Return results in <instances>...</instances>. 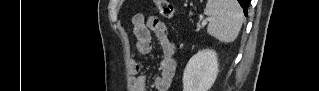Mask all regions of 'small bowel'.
I'll list each match as a JSON object with an SVG mask.
<instances>
[{"label": "small bowel", "instance_id": "obj_1", "mask_svg": "<svg viewBox=\"0 0 319 91\" xmlns=\"http://www.w3.org/2000/svg\"><path fill=\"white\" fill-rule=\"evenodd\" d=\"M134 33L136 36V50L146 55L152 51V33L159 42L162 57L159 64V74L153 78L151 86L145 75L138 74L141 65L133 61L131 71L135 75L132 79L133 91H168L176 71L175 42L170 38L167 26L155 16L142 14L133 17Z\"/></svg>", "mask_w": 319, "mask_h": 91}]
</instances>
